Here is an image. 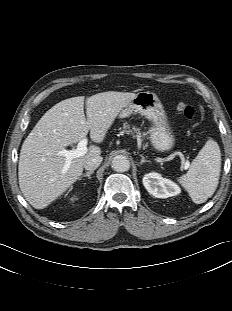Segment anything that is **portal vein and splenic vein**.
Masks as SVG:
<instances>
[{
    "instance_id": "portal-vein-and-splenic-vein-1",
    "label": "portal vein and splenic vein",
    "mask_w": 232,
    "mask_h": 311,
    "mask_svg": "<svg viewBox=\"0 0 232 311\" xmlns=\"http://www.w3.org/2000/svg\"><path fill=\"white\" fill-rule=\"evenodd\" d=\"M87 143H88V140L86 138H84V139L79 141L76 149H72V150L62 149L59 151V154L66 158L65 165L62 169L63 174L67 172V170L71 164L72 159L81 157L87 153V151H88Z\"/></svg>"
}]
</instances>
